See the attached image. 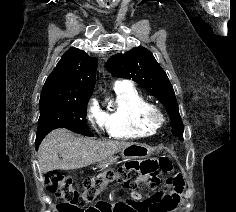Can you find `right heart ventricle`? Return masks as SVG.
Segmentation results:
<instances>
[{
  "label": "right heart ventricle",
  "instance_id": "obj_1",
  "mask_svg": "<svg viewBox=\"0 0 236 212\" xmlns=\"http://www.w3.org/2000/svg\"><path fill=\"white\" fill-rule=\"evenodd\" d=\"M115 104L104 114V128L114 139H136L153 135L156 128L145 120L150 105L144 95L132 84H115Z\"/></svg>",
  "mask_w": 236,
  "mask_h": 212
}]
</instances>
